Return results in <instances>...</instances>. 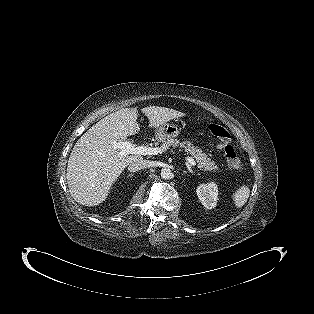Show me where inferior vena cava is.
Masks as SVG:
<instances>
[{
	"label": "inferior vena cava",
	"mask_w": 314,
	"mask_h": 314,
	"mask_svg": "<svg viewBox=\"0 0 314 314\" xmlns=\"http://www.w3.org/2000/svg\"><path fill=\"white\" fill-rule=\"evenodd\" d=\"M151 166V162L148 160H138L135 162H132L128 165V170L130 172H137L146 168H149Z\"/></svg>",
	"instance_id": "1"
}]
</instances>
